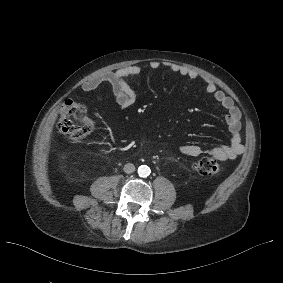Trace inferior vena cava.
Wrapping results in <instances>:
<instances>
[{
  "mask_svg": "<svg viewBox=\"0 0 283 283\" xmlns=\"http://www.w3.org/2000/svg\"><path fill=\"white\" fill-rule=\"evenodd\" d=\"M135 171V166L132 163H128L124 165L125 173H133Z\"/></svg>",
  "mask_w": 283,
  "mask_h": 283,
  "instance_id": "obj_1",
  "label": "inferior vena cava"
}]
</instances>
